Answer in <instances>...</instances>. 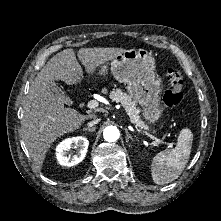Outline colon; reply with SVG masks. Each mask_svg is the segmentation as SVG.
I'll return each instance as SVG.
<instances>
[{"instance_id": "obj_1", "label": "colon", "mask_w": 221, "mask_h": 221, "mask_svg": "<svg viewBox=\"0 0 221 221\" xmlns=\"http://www.w3.org/2000/svg\"><path fill=\"white\" fill-rule=\"evenodd\" d=\"M166 78L169 82V88L164 93L162 102L167 110L175 109L183 100V76L173 68H169L166 72Z\"/></svg>"}]
</instances>
